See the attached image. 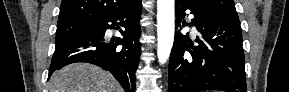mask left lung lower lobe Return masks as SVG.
<instances>
[{
	"label": "left lung lower lobe",
	"instance_id": "left-lung-lower-lobe-1",
	"mask_svg": "<svg viewBox=\"0 0 289 92\" xmlns=\"http://www.w3.org/2000/svg\"><path fill=\"white\" fill-rule=\"evenodd\" d=\"M190 10L199 36L175 32L169 60L168 92L220 90L247 92L240 22L217 14L192 0H175V23L184 24ZM191 27V25H189Z\"/></svg>",
	"mask_w": 289,
	"mask_h": 92
}]
</instances>
